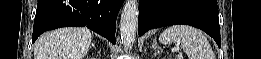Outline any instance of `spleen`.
<instances>
[{
    "instance_id": "3e777b00",
    "label": "spleen",
    "mask_w": 261,
    "mask_h": 59,
    "mask_svg": "<svg viewBox=\"0 0 261 59\" xmlns=\"http://www.w3.org/2000/svg\"><path fill=\"white\" fill-rule=\"evenodd\" d=\"M162 44H180L190 59H215L210 43L203 33L188 25L167 28L159 36Z\"/></svg>"
}]
</instances>
